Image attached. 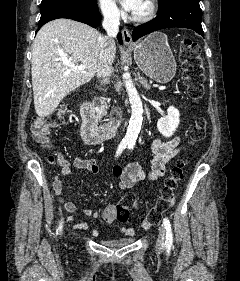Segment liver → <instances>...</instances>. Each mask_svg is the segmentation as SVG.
<instances>
[{
  "instance_id": "6515ba94",
  "label": "liver",
  "mask_w": 240,
  "mask_h": 281,
  "mask_svg": "<svg viewBox=\"0 0 240 281\" xmlns=\"http://www.w3.org/2000/svg\"><path fill=\"white\" fill-rule=\"evenodd\" d=\"M102 38L97 30L70 19H56L39 30L31 59L34 107L39 117L50 115L66 95L94 77ZM106 48L113 63L115 42ZM66 62L81 63L85 70H70Z\"/></svg>"
}]
</instances>
